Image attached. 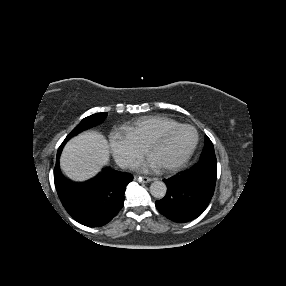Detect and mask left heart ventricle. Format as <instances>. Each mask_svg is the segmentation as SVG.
<instances>
[{
	"instance_id": "left-heart-ventricle-1",
	"label": "left heart ventricle",
	"mask_w": 286,
	"mask_h": 286,
	"mask_svg": "<svg viewBox=\"0 0 286 286\" xmlns=\"http://www.w3.org/2000/svg\"><path fill=\"white\" fill-rule=\"evenodd\" d=\"M195 141V131L189 128L183 129L166 142L156 146L150 154L160 166L175 163L191 150Z\"/></svg>"
}]
</instances>
